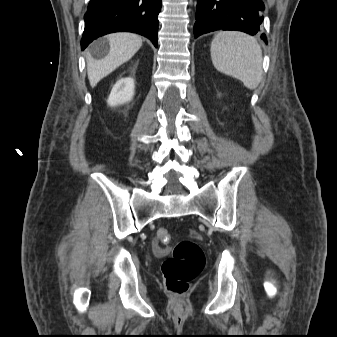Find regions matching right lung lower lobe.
I'll return each instance as SVG.
<instances>
[{
  "instance_id": "1",
  "label": "right lung lower lobe",
  "mask_w": 337,
  "mask_h": 337,
  "mask_svg": "<svg viewBox=\"0 0 337 337\" xmlns=\"http://www.w3.org/2000/svg\"><path fill=\"white\" fill-rule=\"evenodd\" d=\"M161 0H90L84 16L82 50L99 36L127 31L149 38L157 47Z\"/></svg>"
}]
</instances>
